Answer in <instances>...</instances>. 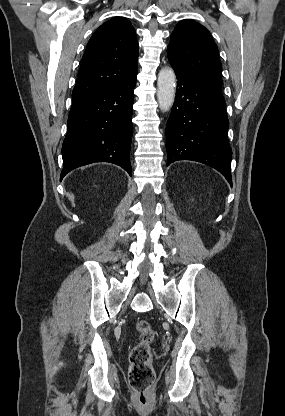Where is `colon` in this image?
I'll return each mask as SVG.
<instances>
[{"label": "colon", "mask_w": 285, "mask_h": 416, "mask_svg": "<svg viewBox=\"0 0 285 416\" xmlns=\"http://www.w3.org/2000/svg\"><path fill=\"white\" fill-rule=\"evenodd\" d=\"M136 330L139 341L130 352L129 383L135 391L137 405L145 408L154 399L155 373L151 366V343L154 338V329L149 321L140 320L136 325Z\"/></svg>", "instance_id": "1"}]
</instances>
